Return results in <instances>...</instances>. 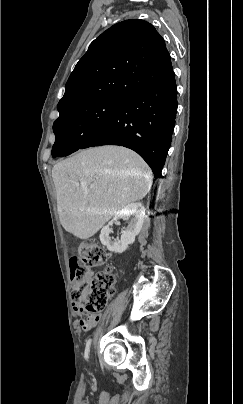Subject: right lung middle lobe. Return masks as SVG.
<instances>
[{"label": "right lung middle lobe", "instance_id": "obj_1", "mask_svg": "<svg viewBox=\"0 0 243 404\" xmlns=\"http://www.w3.org/2000/svg\"><path fill=\"white\" fill-rule=\"evenodd\" d=\"M126 99L109 97L80 104L59 116L53 124L56 141L52 156L64 157L80 149L116 113Z\"/></svg>", "mask_w": 243, "mask_h": 404}]
</instances>
